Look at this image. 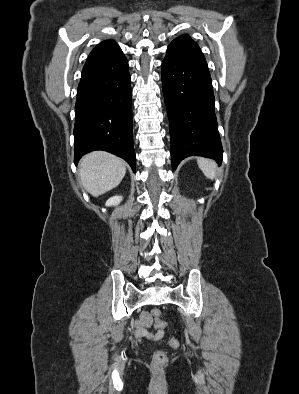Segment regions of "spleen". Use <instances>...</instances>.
<instances>
[{
    "label": "spleen",
    "instance_id": "spleen-1",
    "mask_svg": "<svg viewBox=\"0 0 299 394\" xmlns=\"http://www.w3.org/2000/svg\"><path fill=\"white\" fill-rule=\"evenodd\" d=\"M197 163L201 171L208 178L213 180L216 176L217 165L212 159L199 157Z\"/></svg>",
    "mask_w": 299,
    "mask_h": 394
}]
</instances>
